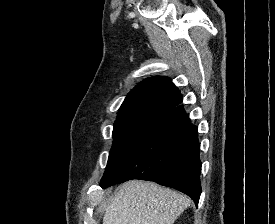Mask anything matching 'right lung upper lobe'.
<instances>
[{"label": "right lung upper lobe", "instance_id": "1", "mask_svg": "<svg viewBox=\"0 0 275 224\" xmlns=\"http://www.w3.org/2000/svg\"><path fill=\"white\" fill-rule=\"evenodd\" d=\"M182 102V95L167 77L155 76L140 82L121 105L118 118L141 111L167 112Z\"/></svg>", "mask_w": 275, "mask_h": 224}]
</instances>
